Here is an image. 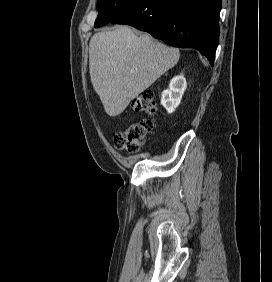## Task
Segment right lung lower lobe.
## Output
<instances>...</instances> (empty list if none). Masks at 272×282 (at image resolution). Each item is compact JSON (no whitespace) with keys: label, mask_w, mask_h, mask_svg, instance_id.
Returning <instances> with one entry per match:
<instances>
[{"label":"right lung lower lobe","mask_w":272,"mask_h":282,"mask_svg":"<svg viewBox=\"0 0 272 282\" xmlns=\"http://www.w3.org/2000/svg\"><path fill=\"white\" fill-rule=\"evenodd\" d=\"M222 0H136L110 23L131 25L179 48L199 50L214 64Z\"/></svg>","instance_id":"98d812e1"}]
</instances>
